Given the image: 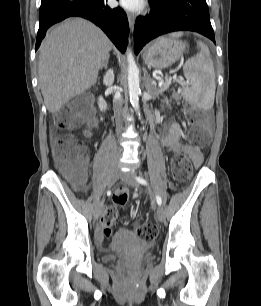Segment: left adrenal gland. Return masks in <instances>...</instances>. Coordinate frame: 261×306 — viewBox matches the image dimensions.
<instances>
[{"label": "left adrenal gland", "mask_w": 261, "mask_h": 306, "mask_svg": "<svg viewBox=\"0 0 261 306\" xmlns=\"http://www.w3.org/2000/svg\"><path fill=\"white\" fill-rule=\"evenodd\" d=\"M150 83H151V79H150L148 73H146L145 87H146L147 91H151Z\"/></svg>", "instance_id": "obj_1"}]
</instances>
